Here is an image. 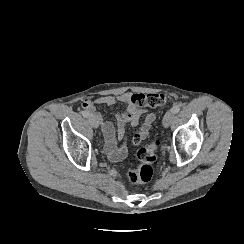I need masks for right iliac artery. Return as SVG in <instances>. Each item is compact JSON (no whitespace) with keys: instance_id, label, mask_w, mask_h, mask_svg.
Wrapping results in <instances>:
<instances>
[{"instance_id":"obj_1","label":"right iliac artery","mask_w":244,"mask_h":244,"mask_svg":"<svg viewBox=\"0 0 244 244\" xmlns=\"http://www.w3.org/2000/svg\"><path fill=\"white\" fill-rule=\"evenodd\" d=\"M82 115L85 118L89 117V113L87 111H82Z\"/></svg>"}]
</instances>
